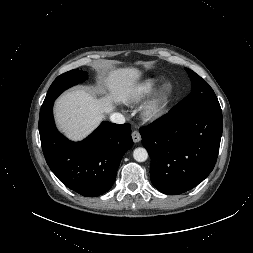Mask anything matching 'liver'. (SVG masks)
I'll use <instances>...</instances> for the list:
<instances>
[{
	"instance_id": "1",
	"label": "liver",
	"mask_w": 253,
	"mask_h": 253,
	"mask_svg": "<svg viewBox=\"0 0 253 253\" xmlns=\"http://www.w3.org/2000/svg\"><path fill=\"white\" fill-rule=\"evenodd\" d=\"M136 69H120L105 79L109 94L97 100L94 94L76 88L63 93L55 102L54 116L58 128L71 140L80 141L95 130L115 105L126 103L140 88Z\"/></svg>"
}]
</instances>
